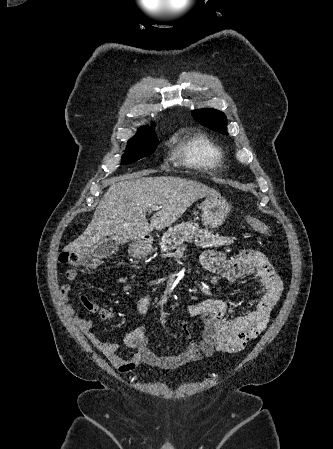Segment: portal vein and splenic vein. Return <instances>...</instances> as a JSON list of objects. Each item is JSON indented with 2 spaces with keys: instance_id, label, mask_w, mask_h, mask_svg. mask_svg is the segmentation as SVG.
Returning <instances> with one entry per match:
<instances>
[{
  "instance_id": "1",
  "label": "portal vein and splenic vein",
  "mask_w": 333,
  "mask_h": 449,
  "mask_svg": "<svg viewBox=\"0 0 333 449\" xmlns=\"http://www.w3.org/2000/svg\"><path fill=\"white\" fill-rule=\"evenodd\" d=\"M157 209H158L157 206H153V207L151 208V210H157Z\"/></svg>"
}]
</instances>
